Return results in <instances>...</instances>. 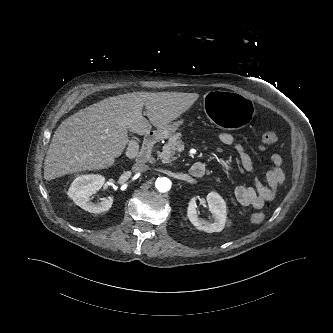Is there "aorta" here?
<instances>
[{"label": "aorta", "instance_id": "obj_1", "mask_svg": "<svg viewBox=\"0 0 333 333\" xmlns=\"http://www.w3.org/2000/svg\"><path fill=\"white\" fill-rule=\"evenodd\" d=\"M155 187L161 193L168 192L171 189V181L167 177H159L156 179Z\"/></svg>", "mask_w": 333, "mask_h": 333}]
</instances>
